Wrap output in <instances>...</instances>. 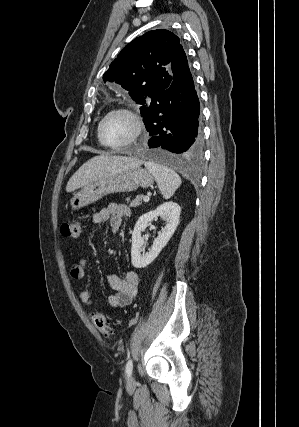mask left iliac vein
<instances>
[{"label":"left iliac vein","mask_w":299,"mask_h":427,"mask_svg":"<svg viewBox=\"0 0 299 427\" xmlns=\"http://www.w3.org/2000/svg\"><path fill=\"white\" fill-rule=\"evenodd\" d=\"M129 383H134V378L132 376L129 378Z\"/></svg>","instance_id":"1"}]
</instances>
